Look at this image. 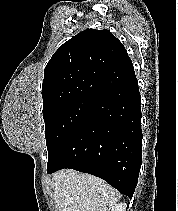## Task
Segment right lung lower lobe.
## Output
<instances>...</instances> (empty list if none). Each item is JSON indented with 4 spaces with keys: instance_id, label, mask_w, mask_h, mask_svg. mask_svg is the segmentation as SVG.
Masks as SVG:
<instances>
[{
    "instance_id": "1",
    "label": "right lung lower lobe",
    "mask_w": 178,
    "mask_h": 211,
    "mask_svg": "<svg viewBox=\"0 0 178 211\" xmlns=\"http://www.w3.org/2000/svg\"><path fill=\"white\" fill-rule=\"evenodd\" d=\"M140 105L136 77L100 97L49 156L47 172L89 173L132 198L142 160Z\"/></svg>"
}]
</instances>
